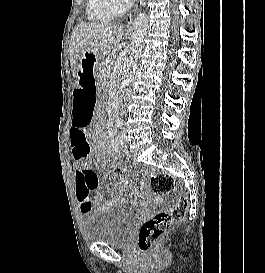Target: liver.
Returning <instances> with one entry per match:
<instances>
[{"mask_svg": "<svg viewBox=\"0 0 265 273\" xmlns=\"http://www.w3.org/2000/svg\"><path fill=\"white\" fill-rule=\"evenodd\" d=\"M124 36L122 26L117 27L105 23H79L72 32L70 39V62L73 76L77 78L80 59L85 51L107 53L117 47Z\"/></svg>", "mask_w": 265, "mask_h": 273, "instance_id": "liver-1", "label": "liver"}]
</instances>
